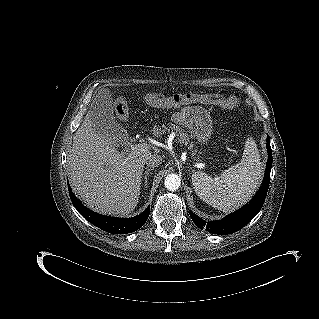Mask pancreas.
Segmentation results:
<instances>
[{"label":"pancreas","mask_w":319,"mask_h":319,"mask_svg":"<svg viewBox=\"0 0 319 319\" xmlns=\"http://www.w3.org/2000/svg\"><path fill=\"white\" fill-rule=\"evenodd\" d=\"M164 129H160L158 126H154L153 127V135L156 136V137H160L162 136V134L165 133V131H170V129L172 131H175L176 135L178 136V140L181 142V143H185V144H189V148L192 150V153L193 154H196L197 153V148H193V147H196L194 142H190V139L188 137V134L187 133H184L179 126H176L175 124H171L169 123L168 124V127L166 126H163Z\"/></svg>","instance_id":"obj_1"}]
</instances>
